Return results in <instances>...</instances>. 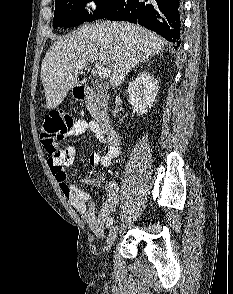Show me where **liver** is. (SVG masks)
Listing matches in <instances>:
<instances>
[{
  "label": "liver",
  "mask_w": 233,
  "mask_h": 294,
  "mask_svg": "<svg viewBox=\"0 0 233 294\" xmlns=\"http://www.w3.org/2000/svg\"><path fill=\"white\" fill-rule=\"evenodd\" d=\"M164 40L131 23L102 21L85 24L74 34L59 38L41 64V80L48 109L60 105L79 81L76 65L81 61L103 63L110 70V84L118 86L136 65L159 54Z\"/></svg>",
  "instance_id": "obj_1"
}]
</instances>
